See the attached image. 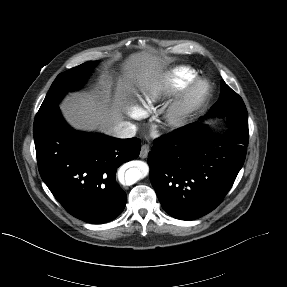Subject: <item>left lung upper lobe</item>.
Instances as JSON below:
<instances>
[{"instance_id":"left-lung-upper-lobe-1","label":"left lung upper lobe","mask_w":287,"mask_h":287,"mask_svg":"<svg viewBox=\"0 0 287 287\" xmlns=\"http://www.w3.org/2000/svg\"><path fill=\"white\" fill-rule=\"evenodd\" d=\"M209 115L228 117L231 125H248V115L242 98L225 82H221L219 100L211 107Z\"/></svg>"}]
</instances>
